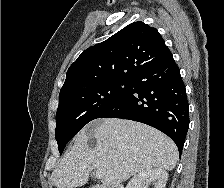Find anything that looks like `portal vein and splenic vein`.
Returning <instances> with one entry per match:
<instances>
[{"mask_svg": "<svg viewBox=\"0 0 224 188\" xmlns=\"http://www.w3.org/2000/svg\"><path fill=\"white\" fill-rule=\"evenodd\" d=\"M94 175H95V177H96L97 179H102L103 176H104V173H103L102 170H96V171L94 172Z\"/></svg>", "mask_w": 224, "mask_h": 188, "instance_id": "1", "label": "portal vein and splenic vein"}]
</instances>
